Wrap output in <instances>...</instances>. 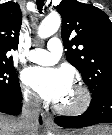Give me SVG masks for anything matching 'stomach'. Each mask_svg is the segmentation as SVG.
Returning a JSON list of instances; mask_svg holds the SVG:
<instances>
[{"label":"stomach","instance_id":"1","mask_svg":"<svg viewBox=\"0 0 112 135\" xmlns=\"http://www.w3.org/2000/svg\"><path fill=\"white\" fill-rule=\"evenodd\" d=\"M61 135H112V126L99 125L88 128L83 132H63Z\"/></svg>","mask_w":112,"mask_h":135}]
</instances>
